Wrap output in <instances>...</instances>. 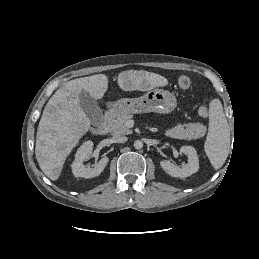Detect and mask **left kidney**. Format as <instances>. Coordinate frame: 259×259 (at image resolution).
I'll use <instances>...</instances> for the list:
<instances>
[{
    "label": "left kidney",
    "mask_w": 259,
    "mask_h": 259,
    "mask_svg": "<svg viewBox=\"0 0 259 259\" xmlns=\"http://www.w3.org/2000/svg\"><path fill=\"white\" fill-rule=\"evenodd\" d=\"M180 152L188 157V163L183 165L182 168L170 162V160H162L160 166L172 177L186 178L199 170L198 155L192 146H182Z\"/></svg>",
    "instance_id": "5707ae66"
}]
</instances>
